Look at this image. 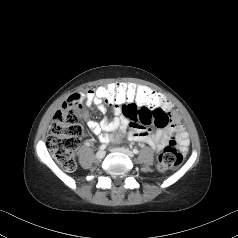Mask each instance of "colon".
Segmentation results:
<instances>
[{
	"label": "colon",
	"mask_w": 238,
	"mask_h": 238,
	"mask_svg": "<svg viewBox=\"0 0 238 238\" xmlns=\"http://www.w3.org/2000/svg\"><path fill=\"white\" fill-rule=\"evenodd\" d=\"M96 93L100 95L103 103L145 106L139 116V120L145 125L153 123L150 109L159 108L165 102L153 87L139 86L130 82L119 84L110 82L97 89ZM76 105L77 101L69 99L55 114L47 137V146L52 156L66 171H73L76 168L74 154L80 142L81 126L74 112ZM181 161L182 154L177 147L175 136H172L169 144L158 157L157 167L160 171H167L178 166Z\"/></svg>",
	"instance_id": "5ec220e1"
}]
</instances>
